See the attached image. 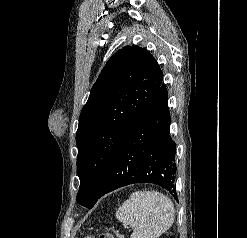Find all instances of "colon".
I'll use <instances>...</instances> for the list:
<instances>
[{"label":"colon","mask_w":247,"mask_h":238,"mask_svg":"<svg viewBox=\"0 0 247 238\" xmlns=\"http://www.w3.org/2000/svg\"><path fill=\"white\" fill-rule=\"evenodd\" d=\"M86 238H94V237L89 236ZM96 238H115V236L110 233H100Z\"/></svg>","instance_id":"1"}]
</instances>
